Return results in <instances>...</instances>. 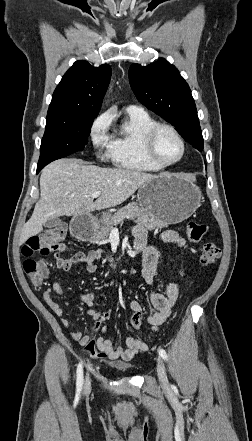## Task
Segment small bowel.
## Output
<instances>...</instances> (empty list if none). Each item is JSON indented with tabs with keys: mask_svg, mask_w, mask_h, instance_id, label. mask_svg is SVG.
I'll return each instance as SVG.
<instances>
[{
	"mask_svg": "<svg viewBox=\"0 0 252 441\" xmlns=\"http://www.w3.org/2000/svg\"><path fill=\"white\" fill-rule=\"evenodd\" d=\"M135 247L143 250V264L141 276L144 282L150 287L153 286L154 276L158 263V251L147 242V234L143 228L134 229ZM162 239L166 242H172L182 248L187 247V243L184 238L180 237L175 231H165L162 233ZM100 251H90L88 254L82 252H76L70 258H64L61 252L55 254V266L57 269L64 272H68L72 265L75 263H81L85 266L88 273H94L97 270L95 263L96 259L100 256ZM62 294L63 289L59 281H54L52 286L43 292V299L50 309L61 318V322L64 326L69 327L71 322L64 318V309L53 299L52 293ZM82 303L87 306V315L93 319L98 320L101 312L95 308V295L93 293L80 292L79 294ZM179 296V287L176 283H170L165 293H159L154 290L150 291V302L153 310L148 315V323L151 325L154 331H157L170 316L172 309ZM131 311H141V304L132 300L129 303ZM106 329H103V333ZM71 337L85 344L88 341V337L84 336L81 331L75 330L71 332ZM97 346L99 350L109 359H122L124 361L132 360L138 353L146 351L147 345L133 337L126 339V345L124 347L115 346L113 341L102 335L97 340Z\"/></svg>",
	"mask_w": 252,
	"mask_h": 441,
	"instance_id": "c3829d8e",
	"label": "small bowel"
}]
</instances>
